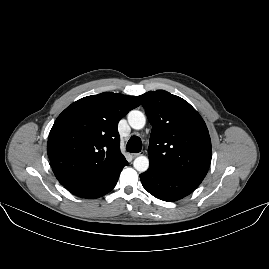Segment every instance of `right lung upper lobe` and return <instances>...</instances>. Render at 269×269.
I'll use <instances>...</instances> for the list:
<instances>
[{
  "instance_id": "1",
  "label": "right lung upper lobe",
  "mask_w": 269,
  "mask_h": 269,
  "mask_svg": "<svg viewBox=\"0 0 269 269\" xmlns=\"http://www.w3.org/2000/svg\"><path fill=\"white\" fill-rule=\"evenodd\" d=\"M140 103L134 96L104 92L79 99L56 119L47 153L58 181L101 177L125 160L118 122Z\"/></svg>"
}]
</instances>
